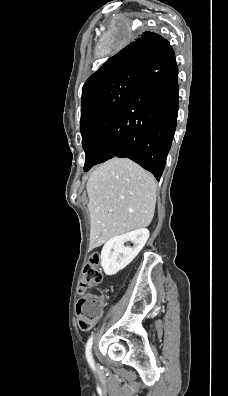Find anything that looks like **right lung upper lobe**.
Returning a JSON list of instances; mask_svg holds the SVG:
<instances>
[{"label":"right lung upper lobe","instance_id":"1","mask_svg":"<svg viewBox=\"0 0 228 396\" xmlns=\"http://www.w3.org/2000/svg\"><path fill=\"white\" fill-rule=\"evenodd\" d=\"M168 42L159 34L144 32L132 43L107 60L92 74L82 89V100L99 85L119 75L141 70L144 60L162 44Z\"/></svg>","mask_w":228,"mask_h":396}]
</instances>
